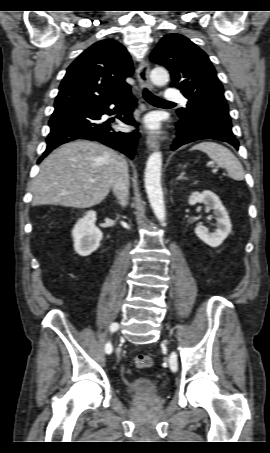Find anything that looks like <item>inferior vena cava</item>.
I'll return each instance as SVG.
<instances>
[{
  "label": "inferior vena cava",
  "mask_w": 270,
  "mask_h": 453,
  "mask_svg": "<svg viewBox=\"0 0 270 453\" xmlns=\"http://www.w3.org/2000/svg\"><path fill=\"white\" fill-rule=\"evenodd\" d=\"M112 190L119 203L125 207L128 204L129 176L126 161L119 157L114 165Z\"/></svg>",
  "instance_id": "inferior-vena-cava-1"
}]
</instances>
